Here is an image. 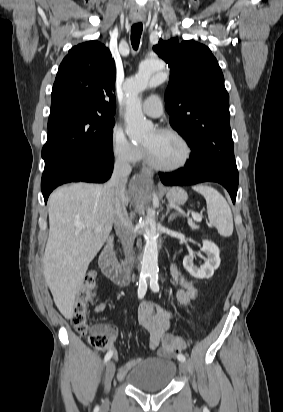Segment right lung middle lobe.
Listing matches in <instances>:
<instances>
[{
  "instance_id": "dd1d6c3e",
  "label": "right lung middle lobe",
  "mask_w": 283,
  "mask_h": 412,
  "mask_svg": "<svg viewBox=\"0 0 283 412\" xmlns=\"http://www.w3.org/2000/svg\"><path fill=\"white\" fill-rule=\"evenodd\" d=\"M113 126L114 119H105L95 111L69 110L50 115L42 157L44 161L62 154L113 157Z\"/></svg>"
}]
</instances>
